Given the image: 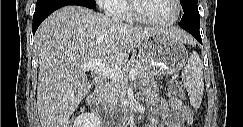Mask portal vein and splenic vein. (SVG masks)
I'll return each mask as SVG.
<instances>
[{
	"instance_id": "portal-vein-and-splenic-vein-1",
	"label": "portal vein and splenic vein",
	"mask_w": 243,
	"mask_h": 127,
	"mask_svg": "<svg viewBox=\"0 0 243 127\" xmlns=\"http://www.w3.org/2000/svg\"><path fill=\"white\" fill-rule=\"evenodd\" d=\"M81 68L86 71H92L100 76L107 77L111 80H125L126 74L120 68H110L102 64L100 61L94 60L81 65ZM128 76L131 80H134L137 76V71L132 69L128 72Z\"/></svg>"
}]
</instances>
